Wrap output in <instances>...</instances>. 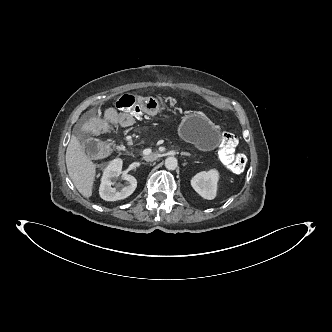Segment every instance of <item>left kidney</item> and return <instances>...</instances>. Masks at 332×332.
<instances>
[{"label":"left kidney","instance_id":"left-kidney-1","mask_svg":"<svg viewBox=\"0 0 332 332\" xmlns=\"http://www.w3.org/2000/svg\"><path fill=\"white\" fill-rule=\"evenodd\" d=\"M218 178L216 170L200 172L192 178L191 185L200 196L211 200L216 196Z\"/></svg>","mask_w":332,"mask_h":332}]
</instances>
